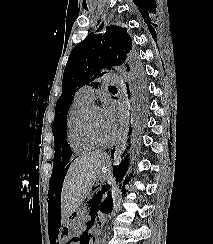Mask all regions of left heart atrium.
<instances>
[{
	"label": "left heart atrium",
	"instance_id": "39dd6f15",
	"mask_svg": "<svg viewBox=\"0 0 213 244\" xmlns=\"http://www.w3.org/2000/svg\"><path fill=\"white\" fill-rule=\"evenodd\" d=\"M101 112L105 124L113 131L116 125V113L113 105L106 104Z\"/></svg>",
	"mask_w": 213,
	"mask_h": 244
}]
</instances>
